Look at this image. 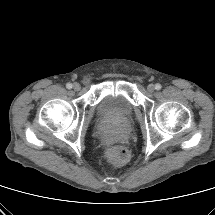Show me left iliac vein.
<instances>
[{
    "instance_id": "obj_1",
    "label": "left iliac vein",
    "mask_w": 215,
    "mask_h": 215,
    "mask_svg": "<svg viewBox=\"0 0 215 215\" xmlns=\"http://www.w3.org/2000/svg\"><path fill=\"white\" fill-rule=\"evenodd\" d=\"M147 90H148L149 93H153L154 90H155L154 85H153V84H149V85L147 86Z\"/></svg>"
}]
</instances>
